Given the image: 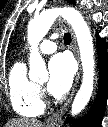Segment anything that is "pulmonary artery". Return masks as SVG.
I'll return each instance as SVG.
<instances>
[{
    "mask_svg": "<svg viewBox=\"0 0 108 127\" xmlns=\"http://www.w3.org/2000/svg\"><path fill=\"white\" fill-rule=\"evenodd\" d=\"M56 38L57 34H52L48 39L44 40L39 46V51L44 54L53 53L57 49L56 43L53 41Z\"/></svg>",
    "mask_w": 108,
    "mask_h": 127,
    "instance_id": "1",
    "label": "pulmonary artery"
}]
</instances>
